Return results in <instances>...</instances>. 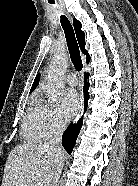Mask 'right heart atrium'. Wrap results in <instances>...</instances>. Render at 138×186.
<instances>
[{"mask_svg":"<svg viewBox=\"0 0 138 186\" xmlns=\"http://www.w3.org/2000/svg\"><path fill=\"white\" fill-rule=\"evenodd\" d=\"M44 121L49 134L57 133L64 128V121L60 118L54 106H47Z\"/></svg>","mask_w":138,"mask_h":186,"instance_id":"obj_1","label":"right heart atrium"}]
</instances>
